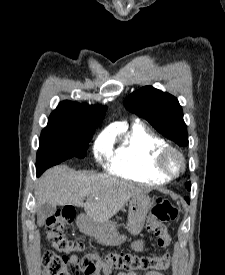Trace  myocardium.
<instances>
[{
  "label": "myocardium",
  "mask_w": 225,
  "mask_h": 275,
  "mask_svg": "<svg viewBox=\"0 0 225 275\" xmlns=\"http://www.w3.org/2000/svg\"><path fill=\"white\" fill-rule=\"evenodd\" d=\"M177 158L180 166L174 168L171 160ZM156 167L164 175L169 177L180 176L186 168V160L183 153L176 147L167 145L162 148L156 156Z\"/></svg>",
  "instance_id": "1"
}]
</instances>
